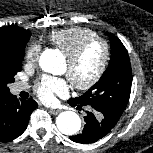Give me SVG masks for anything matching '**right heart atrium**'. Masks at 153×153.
<instances>
[{
  "label": "right heart atrium",
  "mask_w": 153,
  "mask_h": 153,
  "mask_svg": "<svg viewBox=\"0 0 153 153\" xmlns=\"http://www.w3.org/2000/svg\"><path fill=\"white\" fill-rule=\"evenodd\" d=\"M40 54V46L38 43H31L25 53V60L28 64H34L37 62Z\"/></svg>",
  "instance_id": "obj_1"
}]
</instances>
